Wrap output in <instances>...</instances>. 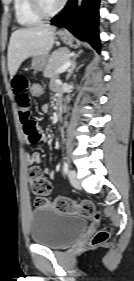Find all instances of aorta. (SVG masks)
<instances>
[{
    "instance_id": "obj_1",
    "label": "aorta",
    "mask_w": 134,
    "mask_h": 281,
    "mask_svg": "<svg viewBox=\"0 0 134 281\" xmlns=\"http://www.w3.org/2000/svg\"><path fill=\"white\" fill-rule=\"evenodd\" d=\"M77 1H78V6L80 7L83 0H77Z\"/></svg>"
}]
</instances>
